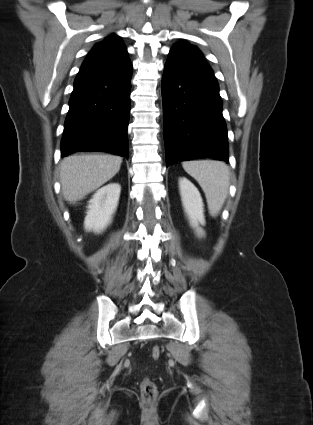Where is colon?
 <instances>
[{
	"label": "colon",
	"instance_id": "colon-1",
	"mask_svg": "<svg viewBox=\"0 0 313 425\" xmlns=\"http://www.w3.org/2000/svg\"><path fill=\"white\" fill-rule=\"evenodd\" d=\"M161 352H162L161 348L156 345L151 349V357L154 360H157L160 358ZM140 392H141L143 401L147 404L153 403L156 400L158 395L156 384L148 378L144 379L141 382Z\"/></svg>",
	"mask_w": 313,
	"mask_h": 425
}]
</instances>
